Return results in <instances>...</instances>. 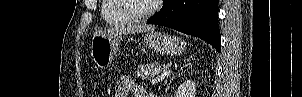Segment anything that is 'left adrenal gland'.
Segmentation results:
<instances>
[{
	"label": "left adrenal gland",
	"mask_w": 302,
	"mask_h": 97,
	"mask_svg": "<svg viewBox=\"0 0 302 97\" xmlns=\"http://www.w3.org/2000/svg\"><path fill=\"white\" fill-rule=\"evenodd\" d=\"M191 59H193L192 56L189 57V58L187 59V61H190ZM182 73H183V71H182L181 73H177L176 75H174V76L170 79V81H169V83H168V85H167V87H166V91L169 89V86H170V84L172 83V81H173L176 77L180 76V74H182Z\"/></svg>",
	"instance_id": "left-adrenal-gland-1"
}]
</instances>
